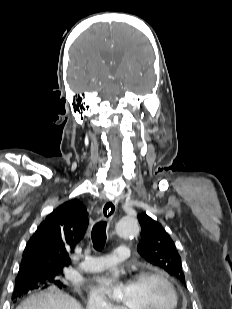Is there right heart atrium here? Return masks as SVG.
Returning <instances> with one entry per match:
<instances>
[{"label":"right heart atrium","instance_id":"obj_1","mask_svg":"<svg viewBox=\"0 0 232 309\" xmlns=\"http://www.w3.org/2000/svg\"><path fill=\"white\" fill-rule=\"evenodd\" d=\"M88 305L90 309H119L117 306L108 302L106 299H104L100 294L96 292L91 293L88 300Z\"/></svg>","mask_w":232,"mask_h":309}]
</instances>
